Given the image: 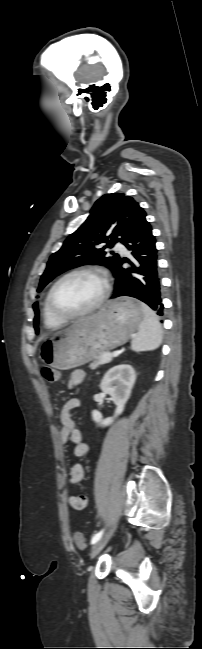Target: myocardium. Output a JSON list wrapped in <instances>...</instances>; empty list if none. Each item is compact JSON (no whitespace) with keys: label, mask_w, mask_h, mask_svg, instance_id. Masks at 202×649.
<instances>
[{"label":"myocardium","mask_w":202,"mask_h":649,"mask_svg":"<svg viewBox=\"0 0 202 649\" xmlns=\"http://www.w3.org/2000/svg\"><path fill=\"white\" fill-rule=\"evenodd\" d=\"M76 274H92L97 277H99L102 280L103 283V290L99 298L88 308L78 311V312H66L63 311L58 307V305L55 302L54 299V294L56 291V288L58 285L64 281L66 278L76 275ZM111 291V281L109 275L101 268L98 267H93V266H83V267H77L74 268L66 273H64L62 276H60L54 284L51 286L49 292H48V304L51 312L53 313L54 316H56L59 319L62 320H72L76 318H80L83 316H86L88 314L93 313L96 311L99 307L103 305V303L107 300L109 297Z\"/></svg>","instance_id":"f54148a6"}]
</instances>
